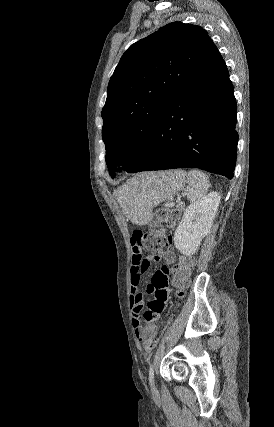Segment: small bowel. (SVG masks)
I'll return each mask as SVG.
<instances>
[{
    "instance_id": "small-bowel-1",
    "label": "small bowel",
    "mask_w": 274,
    "mask_h": 427,
    "mask_svg": "<svg viewBox=\"0 0 274 427\" xmlns=\"http://www.w3.org/2000/svg\"><path fill=\"white\" fill-rule=\"evenodd\" d=\"M133 251L132 256V267H131V288H130V300H131V311H132V323L135 329L137 336L140 339H146L148 337L149 331H156V328L153 326L143 327L139 316L143 310V295L139 291V285L142 280L144 272L147 270L150 264V260L145 258L140 250V247L137 244H134L131 247ZM155 255L161 256L154 259L155 263L159 262V259L162 258L166 265H170L176 260V255L173 251H156ZM147 254H150V251H147ZM171 278L168 275V268L164 266L162 269H157L155 275L149 277L147 282V292L149 294H156L159 301H147L146 309L147 310H165L166 302L169 300V295L167 289L171 287ZM148 320H157L162 319L161 311H148L147 312ZM146 323L145 321L143 322Z\"/></svg>"
}]
</instances>
